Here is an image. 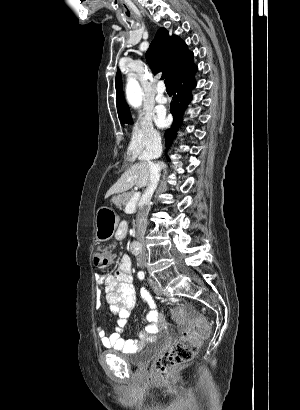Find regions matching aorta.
Wrapping results in <instances>:
<instances>
[{"label": "aorta", "instance_id": "aorta-1", "mask_svg": "<svg viewBox=\"0 0 300 410\" xmlns=\"http://www.w3.org/2000/svg\"><path fill=\"white\" fill-rule=\"evenodd\" d=\"M126 97L128 103L134 108H138L142 103L143 91L133 75H129L127 79Z\"/></svg>", "mask_w": 300, "mask_h": 410}]
</instances>
